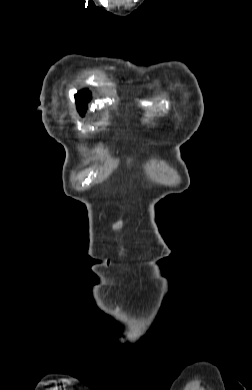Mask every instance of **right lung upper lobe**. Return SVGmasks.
<instances>
[{
  "label": "right lung upper lobe",
  "mask_w": 252,
  "mask_h": 390,
  "mask_svg": "<svg viewBox=\"0 0 252 390\" xmlns=\"http://www.w3.org/2000/svg\"><path fill=\"white\" fill-rule=\"evenodd\" d=\"M91 93L88 90L80 91L75 95L76 104L80 113L86 110V103L90 100Z\"/></svg>",
  "instance_id": "cb5924a9"
}]
</instances>
